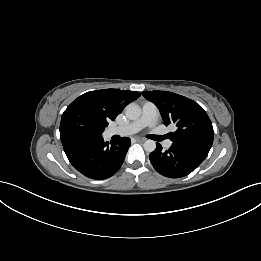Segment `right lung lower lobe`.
I'll return each instance as SVG.
<instances>
[{
  "mask_svg": "<svg viewBox=\"0 0 261 261\" xmlns=\"http://www.w3.org/2000/svg\"><path fill=\"white\" fill-rule=\"evenodd\" d=\"M64 151L73 167L88 178L102 180L114 175L121 167L130 139L104 142L102 136L61 135Z\"/></svg>",
  "mask_w": 261,
  "mask_h": 261,
  "instance_id": "obj_1",
  "label": "right lung lower lobe"
}]
</instances>
